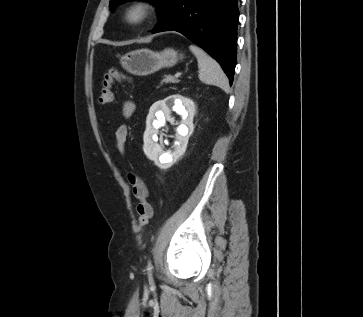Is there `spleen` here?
<instances>
[{
	"label": "spleen",
	"mask_w": 363,
	"mask_h": 317,
	"mask_svg": "<svg viewBox=\"0 0 363 317\" xmlns=\"http://www.w3.org/2000/svg\"><path fill=\"white\" fill-rule=\"evenodd\" d=\"M189 49L197 58L200 81L219 86L228 93L229 81L219 63L196 45H190Z\"/></svg>",
	"instance_id": "3e777b00"
}]
</instances>
